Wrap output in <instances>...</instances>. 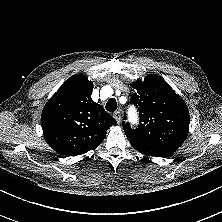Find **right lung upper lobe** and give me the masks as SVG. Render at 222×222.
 Here are the masks:
<instances>
[{"label": "right lung upper lobe", "instance_id": "right-lung-upper-lobe-1", "mask_svg": "<svg viewBox=\"0 0 222 222\" xmlns=\"http://www.w3.org/2000/svg\"><path fill=\"white\" fill-rule=\"evenodd\" d=\"M93 83L83 74L70 77L43 109L41 125L56 152L76 156L94 150L116 120L91 98Z\"/></svg>", "mask_w": 222, "mask_h": 222}]
</instances>
